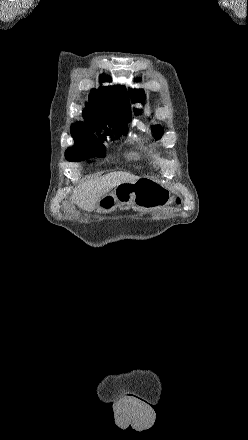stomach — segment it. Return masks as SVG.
Instances as JSON below:
<instances>
[{"instance_id": "stomach-1", "label": "stomach", "mask_w": 248, "mask_h": 440, "mask_svg": "<svg viewBox=\"0 0 248 440\" xmlns=\"http://www.w3.org/2000/svg\"><path fill=\"white\" fill-rule=\"evenodd\" d=\"M171 201L170 191L161 183L139 178L134 183H122L110 194L104 195L97 205L100 212H111L118 205L134 204L138 209L161 208Z\"/></svg>"}]
</instances>
